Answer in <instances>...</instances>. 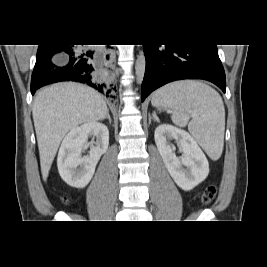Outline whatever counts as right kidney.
Listing matches in <instances>:
<instances>
[{"mask_svg": "<svg viewBox=\"0 0 267 267\" xmlns=\"http://www.w3.org/2000/svg\"><path fill=\"white\" fill-rule=\"evenodd\" d=\"M96 137L90 143L89 156H81L89 136ZM109 145V130L99 122H87L66 135L59 149L57 166L61 178L70 186L84 188L94 175L96 165Z\"/></svg>", "mask_w": 267, "mask_h": 267, "instance_id": "obj_1", "label": "right kidney"}]
</instances>
